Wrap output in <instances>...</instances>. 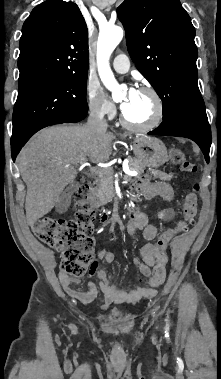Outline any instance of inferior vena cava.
<instances>
[{"label": "inferior vena cava", "instance_id": "inferior-vena-cava-1", "mask_svg": "<svg viewBox=\"0 0 221 379\" xmlns=\"http://www.w3.org/2000/svg\"><path fill=\"white\" fill-rule=\"evenodd\" d=\"M105 112L103 108L99 107H92L90 109L89 117L87 120V123L85 127L87 129L97 131V132H102L106 131L108 124L106 119L104 118Z\"/></svg>", "mask_w": 221, "mask_h": 379}]
</instances>
